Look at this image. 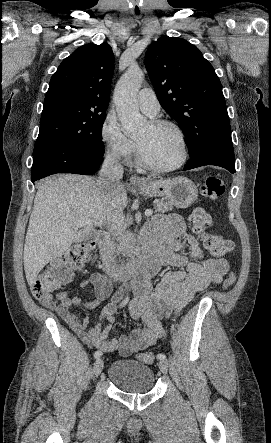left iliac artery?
<instances>
[{
    "instance_id": "1",
    "label": "left iliac artery",
    "mask_w": 271,
    "mask_h": 443,
    "mask_svg": "<svg viewBox=\"0 0 271 443\" xmlns=\"http://www.w3.org/2000/svg\"><path fill=\"white\" fill-rule=\"evenodd\" d=\"M157 358H158L159 360H166V355L163 354V353H160V354L157 355Z\"/></svg>"
}]
</instances>
